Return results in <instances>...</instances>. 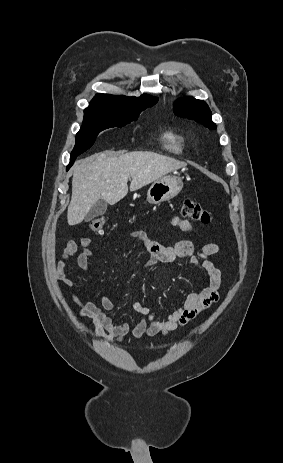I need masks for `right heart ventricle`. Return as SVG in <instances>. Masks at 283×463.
<instances>
[{
    "label": "right heart ventricle",
    "mask_w": 283,
    "mask_h": 463,
    "mask_svg": "<svg viewBox=\"0 0 283 463\" xmlns=\"http://www.w3.org/2000/svg\"><path fill=\"white\" fill-rule=\"evenodd\" d=\"M162 140L165 148L169 151L176 154L183 152L185 139L182 134L176 131H169L163 135Z\"/></svg>",
    "instance_id": "obj_1"
}]
</instances>
